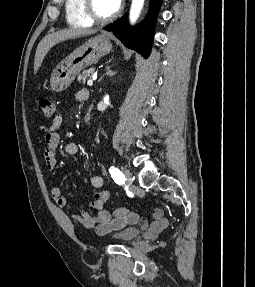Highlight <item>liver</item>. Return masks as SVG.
Here are the masks:
<instances>
[{
  "label": "liver",
  "mask_w": 255,
  "mask_h": 287,
  "mask_svg": "<svg viewBox=\"0 0 255 287\" xmlns=\"http://www.w3.org/2000/svg\"><path fill=\"white\" fill-rule=\"evenodd\" d=\"M97 30H78V28H68V30H61V32H53V34H47L40 44L37 46L35 58H34V74H37L39 68L42 66V62L47 56L50 48L59 44V42H65V40H71V38H81V36H91L96 34Z\"/></svg>",
  "instance_id": "1"
}]
</instances>
